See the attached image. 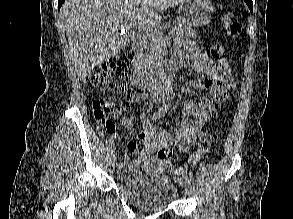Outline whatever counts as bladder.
I'll use <instances>...</instances> for the list:
<instances>
[{
	"label": "bladder",
	"mask_w": 293,
	"mask_h": 219,
	"mask_svg": "<svg viewBox=\"0 0 293 219\" xmlns=\"http://www.w3.org/2000/svg\"><path fill=\"white\" fill-rule=\"evenodd\" d=\"M116 185L134 204L163 208L178 198V188L163 172L142 166H130L116 175Z\"/></svg>",
	"instance_id": "bladder-1"
}]
</instances>
